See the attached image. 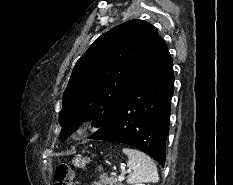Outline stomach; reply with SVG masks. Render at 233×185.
<instances>
[{
	"mask_svg": "<svg viewBox=\"0 0 233 185\" xmlns=\"http://www.w3.org/2000/svg\"><path fill=\"white\" fill-rule=\"evenodd\" d=\"M73 162H74V164H75V166H78V167H84L85 166V164L87 163V161L85 160V159H81V158H75L74 160H73Z\"/></svg>",
	"mask_w": 233,
	"mask_h": 185,
	"instance_id": "stomach-1",
	"label": "stomach"
}]
</instances>
